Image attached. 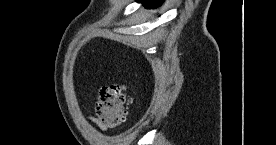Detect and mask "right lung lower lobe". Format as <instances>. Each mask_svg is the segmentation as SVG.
Returning <instances> with one entry per match:
<instances>
[{"label": "right lung lower lobe", "mask_w": 276, "mask_h": 145, "mask_svg": "<svg viewBox=\"0 0 276 145\" xmlns=\"http://www.w3.org/2000/svg\"><path fill=\"white\" fill-rule=\"evenodd\" d=\"M138 2H142L146 8H155L162 4L164 0H137Z\"/></svg>", "instance_id": "98d812e1"}]
</instances>
